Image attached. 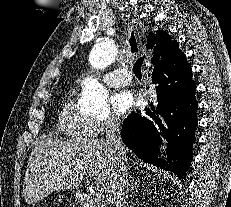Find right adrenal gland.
I'll return each mask as SVG.
<instances>
[{
    "instance_id": "1",
    "label": "right adrenal gland",
    "mask_w": 231,
    "mask_h": 207,
    "mask_svg": "<svg viewBox=\"0 0 231 207\" xmlns=\"http://www.w3.org/2000/svg\"><path fill=\"white\" fill-rule=\"evenodd\" d=\"M130 185H131V188H130V191H133L136 184H134L133 180H130Z\"/></svg>"
}]
</instances>
